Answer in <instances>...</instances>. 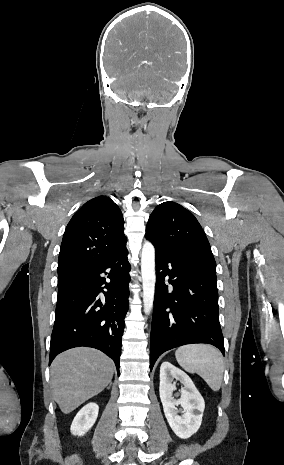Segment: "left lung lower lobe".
<instances>
[{
    "label": "left lung lower lobe",
    "instance_id": "1",
    "mask_svg": "<svg viewBox=\"0 0 284 465\" xmlns=\"http://www.w3.org/2000/svg\"><path fill=\"white\" fill-rule=\"evenodd\" d=\"M156 286L150 336V369L165 351L208 343L224 355L216 273L157 248ZM172 287L166 285L164 280Z\"/></svg>",
    "mask_w": 284,
    "mask_h": 465
}]
</instances>
